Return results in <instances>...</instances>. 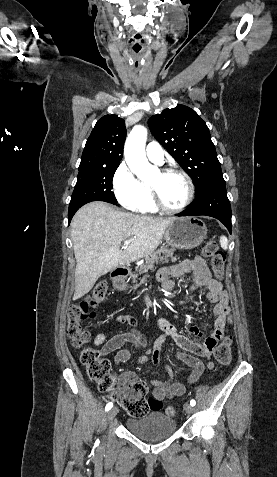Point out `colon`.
I'll use <instances>...</instances> for the list:
<instances>
[{"instance_id":"1","label":"colon","mask_w":277,"mask_h":477,"mask_svg":"<svg viewBox=\"0 0 277 477\" xmlns=\"http://www.w3.org/2000/svg\"><path fill=\"white\" fill-rule=\"evenodd\" d=\"M201 253L209 260L216 277L222 279L225 256L218 249L216 243L214 241H208L203 245ZM106 294L107 284L100 282L88 296L69 310L67 335L72 340L73 345L81 349L80 360L86 369L89 379L94 382L101 391L110 393L112 398L131 416L142 417L150 411L162 409V401L154 398L147 399L146 394L148 387L140 380L122 383L120 390L116 392V381L111 372L110 362L102 357L98 350L86 346L89 342L90 335L81 327V321L95 317L94 309L103 303ZM232 317V312L228 311L226 316L227 325L233 324ZM231 345V337L225 335L221 343L215 348L214 356L219 364L227 365L230 362ZM165 412L169 416H174L177 411L174 407L169 406Z\"/></svg>"}]
</instances>
